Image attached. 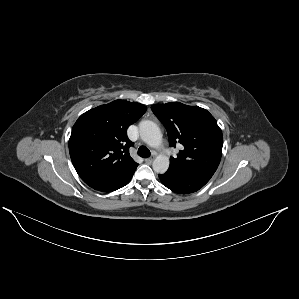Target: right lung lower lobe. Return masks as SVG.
<instances>
[{
  "mask_svg": "<svg viewBox=\"0 0 299 299\" xmlns=\"http://www.w3.org/2000/svg\"><path fill=\"white\" fill-rule=\"evenodd\" d=\"M134 172H132L126 176H123V177H115V178H112V179H109V180H106L103 182L91 184L89 186L98 191L112 192V191H115V190L125 186L126 184H128V182L131 180Z\"/></svg>",
  "mask_w": 299,
  "mask_h": 299,
  "instance_id": "98d812e1",
  "label": "right lung lower lobe"
}]
</instances>
